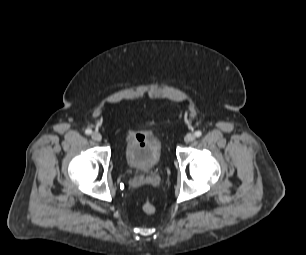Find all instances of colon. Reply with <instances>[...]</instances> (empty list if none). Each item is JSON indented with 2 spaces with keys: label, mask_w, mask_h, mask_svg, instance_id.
Listing matches in <instances>:
<instances>
[{
  "label": "colon",
  "mask_w": 306,
  "mask_h": 255,
  "mask_svg": "<svg viewBox=\"0 0 306 255\" xmlns=\"http://www.w3.org/2000/svg\"><path fill=\"white\" fill-rule=\"evenodd\" d=\"M142 210L144 213L151 215L155 212V206L150 202H145L142 206Z\"/></svg>",
  "instance_id": "1"
}]
</instances>
